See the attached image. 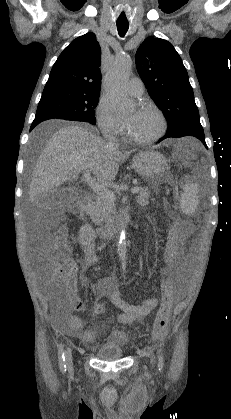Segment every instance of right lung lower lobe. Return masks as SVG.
Instances as JSON below:
<instances>
[{"mask_svg":"<svg viewBox=\"0 0 231 419\" xmlns=\"http://www.w3.org/2000/svg\"><path fill=\"white\" fill-rule=\"evenodd\" d=\"M37 124H39V122H33L32 123V125H31V128H30V131L37 125Z\"/></svg>","mask_w":231,"mask_h":419,"instance_id":"right-lung-lower-lobe-1","label":"right lung lower lobe"}]
</instances>
